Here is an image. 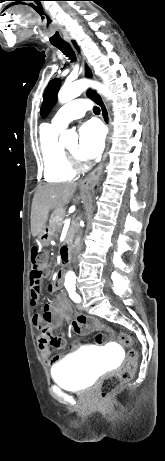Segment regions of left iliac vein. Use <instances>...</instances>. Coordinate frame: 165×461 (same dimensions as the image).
<instances>
[{"instance_id":"obj_1","label":"left iliac vein","mask_w":165,"mask_h":461,"mask_svg":"<svg viewBox=\"0 0 165 461\" xmlns=\"http://www.w3.org/2000/svg\"><path fill=\"white\" fill-rule=\"evenodd\" d=\"M77 308H78L79 310H83V309H84V306H83L82 303H79V304L77 305Z\"/></svg>"}]
</instances>
